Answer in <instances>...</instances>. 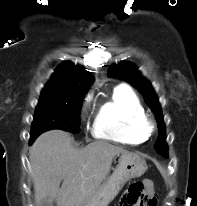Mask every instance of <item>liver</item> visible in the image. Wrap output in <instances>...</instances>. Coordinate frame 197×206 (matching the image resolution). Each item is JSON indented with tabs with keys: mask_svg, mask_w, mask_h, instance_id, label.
<instances>
[{
	"mask_svg": "<svg viewBox=\"0 0 197 206\" xmlns=\"http://www.w3.org/2000/svg\"><path fill=\"white\" fill-rule=\"evenodd\" d=\"M62 130L41 134L30 150L37 206L55 201L57 206H80L101 186L113 158L127 151L105 141L79 149ZM63 181L61 187L60 183Z\"/></svg>",
	"mask_w": 197,
	"mask_h": 206,
	"instance_id": "obj_1",
	"label": "liver"
}]
</instances>
